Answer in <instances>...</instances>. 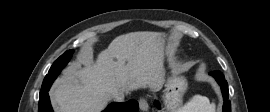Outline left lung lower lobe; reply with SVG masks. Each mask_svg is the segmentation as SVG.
<instances>
[{
    "mask_svg": "<svg viewBox=\"0 0 270 112\" xmlns=\"http://www.w3.org/2000/svg\"><path fill=\"white\" fill-rule=\"evenodd\" d=\"M210 75H212L215 78V80L218 82V84L221 87V91H222L223 99H224L223 112H231V102L228 99L229 97L228 84H227V81L225 80L224 75L220 71L210 72ZM155 106L157 108H160V105L157 101H155Z\"/></svg>",
    "mask_w": 270,
    "mask_h": 112,
    "instance_id": "0a47b994",
    "label": "left lung lower lobe"
}]
</instances>
